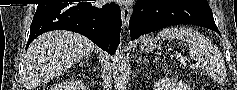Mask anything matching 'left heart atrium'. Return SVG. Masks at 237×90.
<instances>
[{
  "label": "left heart atrium",
  "instance_id": "1",
  "mask_svg": "<svg viewBox=\"0 0 237 90\" xmlns=\"http://www.w3.org/2000/svg\"><path fill=\"white\" fill-rule=\"evenodd\" d=\"M123 3H129L130 0H122Z\"/></svg>",
  "mask_w": 237,
  "mask_h": 90
}]
</instances>
